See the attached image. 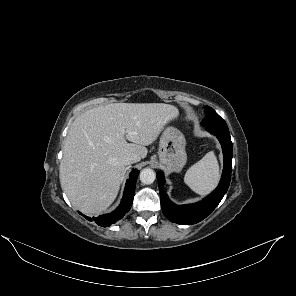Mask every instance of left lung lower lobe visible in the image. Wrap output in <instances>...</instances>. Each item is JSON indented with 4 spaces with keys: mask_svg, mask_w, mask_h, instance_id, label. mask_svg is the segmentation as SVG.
Here are the masks:
<instances>
[{
    "mask_svg": "<svg viewBox=\"0 0 296 296\" xmlns=\"http://www.w3.org/2000/svg\"><path fill=\"white\" fill-rule=\"evenodd\" d=\"M206 128L219 139L224 156V168L221 181L210 195L195 204L175 205L169 200L163 189L165 183L163 173H157L162 211L164 215L174 223L189 225L200 222L218 206L229 187L232 169V142L229 129L228 127Z\"/></svg>",
    "mask_w": 296,
    "mask_h": 296,
    "instance_id": "1",
    "label": "left lung lower lobe"
}]
</instances>
